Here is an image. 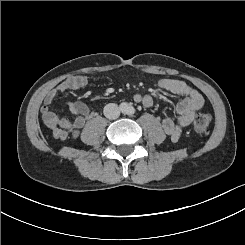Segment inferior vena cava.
Here are the masks:
<instances>
[{
    "label": "inferior vena cava",
    "mask_w": 245,
    "mask_h": 245,
    "mask_svg": "<svg viewBox=\"0 0 245 245\" xmlns=\"http://www.w3.org/2000/svg\"><path fill=\"white\" fill-rule=\"evenodd\" d=\"M104 115L106 118L114 120L119 117L120 110L116 104L109 103L104 107Z\"/></svg>",
    "instance_id": "inferior-vena-cava-1"
}]
</instances>
